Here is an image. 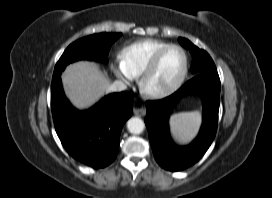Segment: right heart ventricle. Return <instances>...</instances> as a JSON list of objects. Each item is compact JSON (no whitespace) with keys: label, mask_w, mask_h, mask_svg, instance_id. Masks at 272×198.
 I'll use <instances>...</instances> for the list:
<instances>
[{"label":"right heart ventricle","mask_w":272,"mask_h":198,"mask_svg":"<svg viewBox=\"0 0 272 198\" xmlns=\"http://www.w3.org/2000/svg\"><path fill=\"white\" fill-rule=\"evenodd\" d=\"M169 44L160 40L145 39L126 46L121 52V60L128 71L134 76H140L152 58L162 48Z\"/></svg>","instance_id":"e07e8e85"}]
</instances>
